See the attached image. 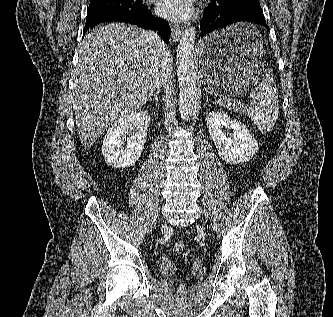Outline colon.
<instances>
[{"mask_svg": "<svg viewBox=\"0 0 333 317\" xmlns=\"http://www.w3.org/2000/svg\"><path fill=\"white\" fill-rule=\"evenodd\" d=\"M174 251L178 254H182L185 251V245L182 242H177L174 244Z\"/></svg>", "mask_w": 333, "mask_h": 317, "instance_id": "1", "label": "colon"}]
</instances>
